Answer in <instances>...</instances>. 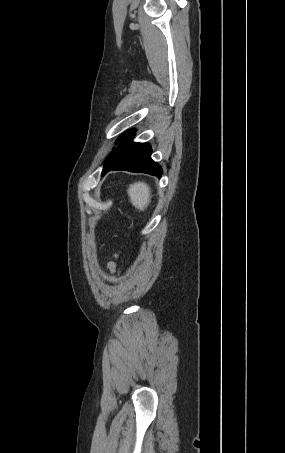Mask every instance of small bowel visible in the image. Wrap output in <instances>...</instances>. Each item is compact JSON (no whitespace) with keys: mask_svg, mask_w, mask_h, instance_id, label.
<instances>
[{"mask_svg":"<svg viewBox=\"0 0 285 453\" xmlns=\"http://www.w3.org/2000/svg\"><path fill=\"white\" fill-rule=\"evenodd\" d=\"M108 267L111 269V270H115L116 269V264L111 262L109 263Z\"/></svg>","mask_w":285,"mask_h":453,"instance_id":"1","label":"small bowel"}]
</instances>
